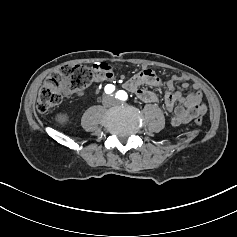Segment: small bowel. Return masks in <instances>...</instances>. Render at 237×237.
<instances>
[{
  "instance_id": "c3829d8e",
  "label": "small bowel",
  "mask_w": 237,
  "mask_h": 237,
  "mask_svg": "<svg viewBox=\"0 0 237 237\" xmlns=\"http://www.w3.org/2000/svg\"><path fill=\"white\" fill-rule=\"evenodd\" d=\"M113 78V74L99 75L96 77V81L103 82L113 80ZM179 80H183V78L172 77L163 80L152 70L146 68L127 79L123 86L144 102H157L159 100V94L154 90L145 88V86L161 91L163 93L165 109L171 114V123L178 126L186 124L195 117L206 113V106L199 87L194 84V91L188 95H184L182 92L174 89L175 82ZM188 87L189 83L183 80L182 88L187 89ZM82 93L83 92H78L79 95ZM65 94L69 95L71 92L65 91Z\"/></svg>"
}]
</instances>
